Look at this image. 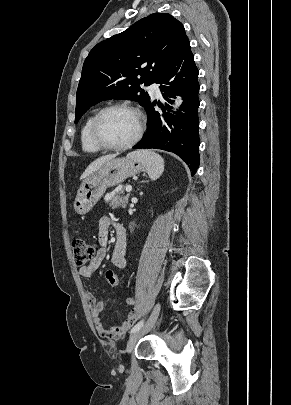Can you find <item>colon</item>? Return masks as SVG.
Wrapping results in <instances>:
<instances>
[{
	"label": "colon",
	"instance_id": "colon-1",
	"mask_svg": "<svg viewBox=\"0 0 291 405\" xmlns=\"http://www.w3.org/2000/svg\"><path fill=\"white\" fill-rule=\"evenodd\" d=\"M74 264L77 267L85 266L94 257V248L83 239H75L72 242ZM108 283L117 287L121 284L120 275L114 270H108L105 274Z\"/></svg>",
	"mask_w": 291,
	"mask_h": 405
}]
</instances>
